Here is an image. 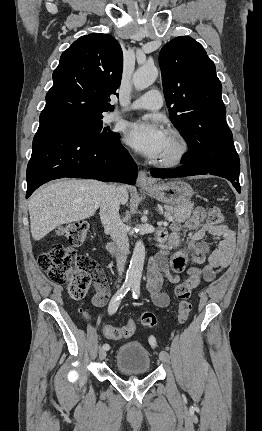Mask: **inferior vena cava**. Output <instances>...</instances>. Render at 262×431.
<instances>
[{"instance_id":"inferior-vena-cava-1","label":"inferior vena cava","mask_w":262,"mask_h":431,"mask_svg":"<svg viewBox=\"0 0 262 431\" xmlns=\"http://www.w3.org/2000/svg\"><path fill=\"white\" fill-rule=\"evenodd\" d=\"M124 186L109 185L106 195L104 196L100 206L101 222L115 242L117 247V270L121 276L124 272L125 262L129 253V240L127 236V228L122 223L119 216L120 208V193Z\"/></svg>"}]
</instances>
